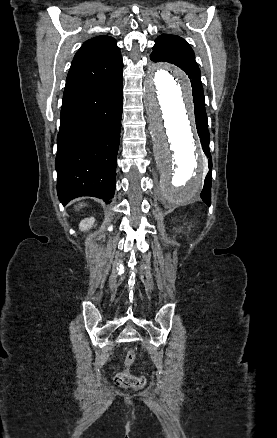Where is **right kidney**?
<instances>
[{"label":"right kidney","mask_w":277,"mask_h":438,"mask_svg":"<svg viewBox=\"0 0 277 438\" xmlns=\"http://www.w3.org/2000/svg\"><path fill=\"white\" fill-rule=\"evenodd\" d=\"M95 224V218H84V220H81L79 224V230L81 232H85V230H91Z\"/></svg>","instance_id":"ca27d5eb"}]
</instances>
